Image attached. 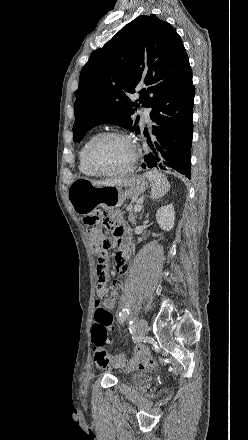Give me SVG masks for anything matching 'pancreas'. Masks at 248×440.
<instances>
[{
	"label": "pancreas",
	"mask_w": 248,
	"mask_h": 440,
	"mask_svg": "<svg viewBox=\"0 0 248 440\" xmlns=\"http://www.w3.org/2000/svg\"><path fill=\"white\" fill-rule=\"evenodd\" d=\"M136 218H137L136 214H134L132 211H130L128 219L132 225H136Z\"/></svg>",
	"instance_id": "1"
}]
</instances>
